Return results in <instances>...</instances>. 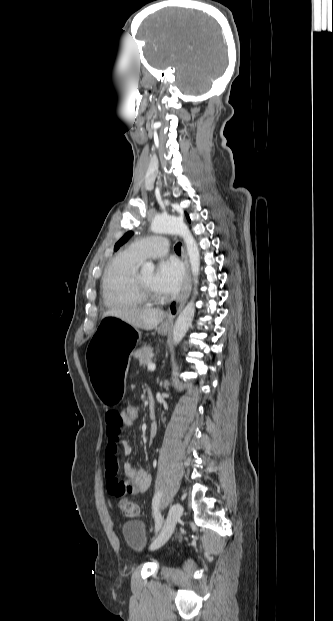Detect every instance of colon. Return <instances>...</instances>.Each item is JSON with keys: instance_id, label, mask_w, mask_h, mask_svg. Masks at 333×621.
I'll list each match as a JSON object with an SVG mask.
<instances>
[{"instance_id": "5ec220e1", "label": "colon", "mask_w": 333, "mask_h": 621, "mask_svg": "<svg viewBox=\"0 0 333 621\" xmlns=\"http://www.w3.org/2000/svg\"><path fill=\"white\" fill-rule=\"evenodd\" d=\"M122 412L129 424H133L139 417V408L131 401L123 404ZM119 508L121 513L127 517H136L139 512L137 505L128 499H121Z\"/></svg>"}]
</instances>
